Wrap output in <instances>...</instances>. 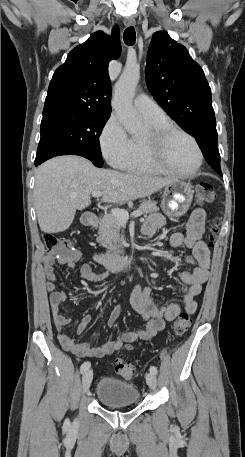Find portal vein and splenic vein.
<instances>
[{
  "instance_id": "obj_1",
  "label": "portal vein and splenic vein",
  "mask_w": 245,
  "mask_h": 457,
  "mask_svg": "<svg viewBox=\"0 0 245 457\" xmlns=\"http://www.w3.org/2000/svg\"><path fill=\"white\" fill-rule=\"evenodd\" d=\"M102 194H105V192H101V190H93L92 192V196H102ZM111 214L116 216L122 224H125L129 218V212L124 210V208H114V210H111ZM141 214V210H134V212H131V216H141Z\"/></svg>"
}]
</instances>
